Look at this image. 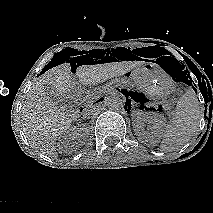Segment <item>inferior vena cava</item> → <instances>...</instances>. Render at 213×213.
<instances>
[{"label":"inferior vena cava","instance_id":"obj_1","mask_svg":"<svg viewBox=\"0 0 213 213\" xmlns=\"http://www.w3.org/2000/svg\"><path fill=\"white\" fill-rule=\"evenodd\" d=\"M94 113H95V108L89 106V107L85 108V111L83 112V115L84 116H90V115H92Z\"/></svg>","mask_w":213,"mask_h":213}]
</instances>
